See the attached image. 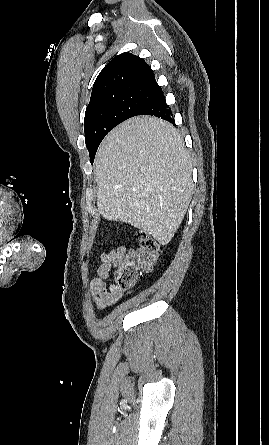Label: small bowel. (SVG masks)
I'll return each mask as SVG.
<instances>
[{"label":"small bowel","mask_w":269,"mask_h":445,"mask_svg":"<svg viewBox=\"0 0 269 445\" xmlns=\"http://www.w3.org/2000/svg\"><path fill=\"white\" fill-rule=\"evenodd\" d=\"M125 255L126 249L124 247H118L101 254V263L97 268V277L90 284L92 301L100 311L116 303L122 296V292L107 281L111 269L116 267Z\"/></svg>","instance_id":"obj_1"}]
</instances>
